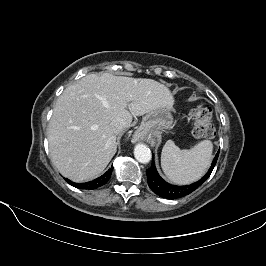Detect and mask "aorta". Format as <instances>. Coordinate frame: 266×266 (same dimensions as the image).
Instances as JSON below:
<instances>
[{
  "instance_id": "762f6f07",
  "label": "aorta",
  "mask_w": 266,
  "mask_h": 266,
  "mask_svg": "<svg viewBox=\"0 0 266 266\" xmlns=\"http://www.w3.org/2000/svg\"><path fill=\"white\" fill-rule=\"evenodd\" d=\"M134 156L138 162L146 164L151 160V151L146 145L138 144L134 149Z\"/></svg>"
}]
</instances>
